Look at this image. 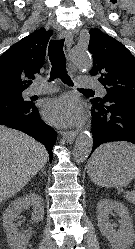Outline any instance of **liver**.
Returning a JSON list of instances; mask_svg holds the SVG:
<instances>
[{"mask_svg":"<svg viewBox=\"0 0 135 249\" xmlns=\"http://www.w3.org/2000/svg\"><path fill=\"white\" fill-rule=\"evenodd\" d=\"M48 158L41 143L0 125V203L18 193L45 167Z\"/></svg>","mask_w":135,"mask_h":249,"instance_id":"liver-1","label":"liver"}]
</instances>
